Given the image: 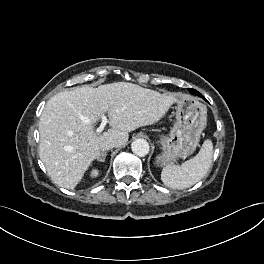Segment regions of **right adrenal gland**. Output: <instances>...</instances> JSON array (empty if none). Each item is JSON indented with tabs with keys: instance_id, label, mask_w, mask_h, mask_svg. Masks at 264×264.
Here are the masks:
<instances>
[{
	"instance_id": "2a0ac1e0",
	"label": "right adrenal gland",
	"mask_w": 264,
	"mask_h": 264,
	"mask_svg": "<svg viewBox=\"0 0 264 264\" xmlns=\"http://www.w3.org/2000/svg\"><path fill=\"white\" fill-rule=\"evenodd\" d=\"M107 156V152H102L99 157H97V161L99 162H105V158Z\"/></svg>"
}]
</instances>
